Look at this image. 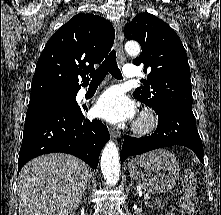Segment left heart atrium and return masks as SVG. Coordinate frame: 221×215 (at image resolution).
<instances>
[{
  "label": "left heart atrium",
  "instance_id": "1",
  "mask_svg": "<svg viewBox=\"0 0 221 215\" xmlns=\"http://www.w3.org/2000/svg\"><path fill=\"white\" fill-rule=\"evenodd\" d=\"M93 112L110 123H123L133 119L135 107L119 87H111L99 96Z\"/></svg>",
  "mask_w": 221,
  "mask_h": 215
}]
</instances>
